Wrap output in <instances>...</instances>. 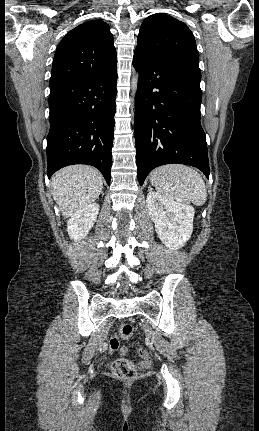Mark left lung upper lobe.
Returning a JSON list of instances; mask_svg holds the SVG:
<instances>
[{
  "label": "left lung upper lobe",
  "instance_id": "1",
  "mask_svg": "<svg viewBox=\"0 0 259 431\" xmlns=\"http://www.w3.org/2000/svg\"><path fill=\"white\" fill-rule=\"evenodd\" d=\"M137 42L135 50L201 79L195 38L183 22L162 13L151 15L143 21Z\"/></svg>",
  "mask_w": 259,
  "mask_h": 431
}]
</instances>
